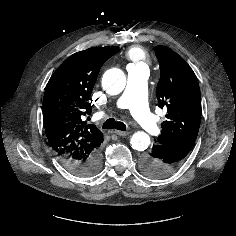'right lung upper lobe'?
Returning a JSON list of instances; mask_svg holds the SVG:
<instances>
[{"label": "right lung upper lobe", "instance_id": "1", "mask_svg": "<svg viewBox=\"0 0 236 236\" xmlns=\"http://www.w3.org/2000/svg\"><path fill=\"white\" fill-rule=\"evenodd\" d=\"M118 47H93L68 57L53 73L43 98L49 145L63 161H82L103 142L102 132L84 121L91 113V92L104 62Z\"/></svg>", "mask_w": 236, "mask_h": 236}]
</instances>
